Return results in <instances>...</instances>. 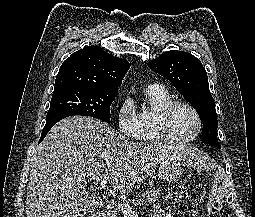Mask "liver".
<instances>
[{
    "label": "liver",
    "mask_w": 255,
    "mask_h": 217,
    "mask_svg": "<svg viewBox=\"0 0 255 217\" xmlns=\"http://www.w3.org/2000/svg\"><path fill=\"white\" fill-rule=\"evenodd\" d=\"M173 151L198 158L195 148L135 143L108 124L85 116L58 122L37 147L27 186V217H84L92 206L83 183L109 177L128 193Z\"/></svg>",
    "instance_id": "6515ba94"
}]
</instances>
